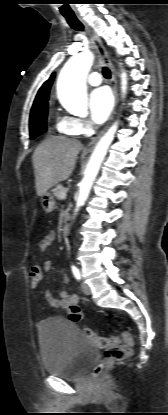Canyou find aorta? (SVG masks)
<instances>
[{
    "mask_svg": "<svg viewBox=\"0 0 168 415\" xmlns=\"http://www.w3.org/2000/svg\"><path fill=\"white\" fill-rule=\"evenodd\" d=\"M93 63V55L84 52L71 57L62 68L57 81V94L61 105L70 113L78 114L87 110L86 77ZM127 90V74L121 73V92ZM118 122L108 129L95 147L87 165L84 178L80 184L79 196L75 212L84 204L90 193L92 184L98 174L101 163L112 143Z\"/></svg>",
    "mask_w": 168,
    "mask_h": 415,
    "instance_id": "1",
    "label": "aorta"
}]
</instances>
